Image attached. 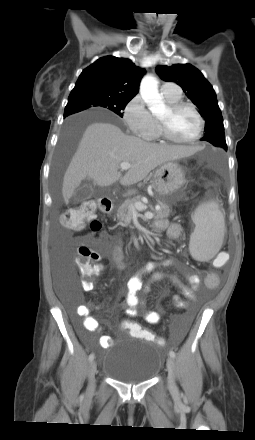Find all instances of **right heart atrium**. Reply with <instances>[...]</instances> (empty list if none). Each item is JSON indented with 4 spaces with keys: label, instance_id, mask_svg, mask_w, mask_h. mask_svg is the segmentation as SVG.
Masks as SVG:
<instances>
[{
    "label": "right heart atrium",
    "instance_id": "1",
    "mask_svg": "<svg viewBox=\"0 0 255 440\" xmlns=\"http://www.w3.org/2000/svg\"><path fill=\"white\" fill-rule=\"evenodd\" d=\"M123 119L128 129L140 137L153 136L157 130V122L140 95L134 96L127 103L123 112Z\"/></svg>",
    "mask_w": 255,
    "mask_h": 440
}]
</instances>
